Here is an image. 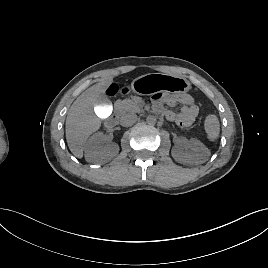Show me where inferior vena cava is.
<instances>
[{"label":"inferior vena cava","mask_w":268,"mask_h":268,"mask_svg":"<svg viewBox=\"0 0 268 268\" xmlns=\"http://www.w3.org/2000/svg\"><path fill=\"white\" fill-rule=\"evenodd\" d=\"M137 121L135 113H128L121 117L120 123L122 126H131Z\"/></svg>","instance_id":"obj_1"}]
</instances>
